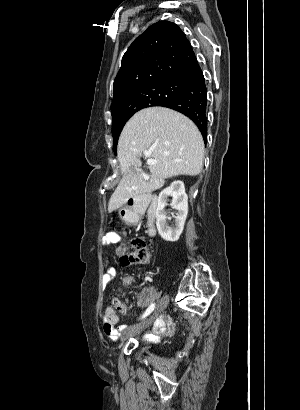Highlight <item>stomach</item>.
Masks as SVG:
<instances>
[{"instance_id":"1","label":"stomach","mask_w":300,"mask_h":410,"mask_svg":"<svg viewBox=\"0 0 300 410\" xmlns=\"http://www.w3.org/2000/svg\"><path fill=\"white\" fill-rule=\"evenodd\" d=\"M129 212L130 211L126 208H122V209L119 210L120 216H125V215L129 214Z\"/></svg>"}]
</instances>
